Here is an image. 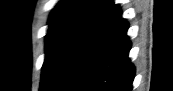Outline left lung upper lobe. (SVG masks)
Segmentation results:
<instances>
[{
    "label": "left lung upper lobe",
    "mask_w": 173,
    "mask_h": 91,
    "mask_svg": "<svg viewBox=\"0 0 173 91\" xmlns=\"http://www.w3.org/2000/svg\"><path fill=\"white\" fill-rule=\"evenodd\" d=\"M113 5V0H61L56 5L48 22L41 91L53 89L76 48Z\"/></svg>",
    "instance_id": "obj_1"
}]
</instances>
